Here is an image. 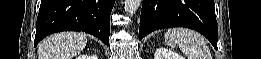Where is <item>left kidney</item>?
<instances>
[{
  "instance_id": "5707ae66",
  "label": "left kidney",
  "mask_w": 261,
  "mask_h": 59,
  "mask_svg": "<svg viewBox=\"0 0 261 59\" xmlns=\"http://www.w3.org/2000/svg\"><path fill=\"white\" fill-rule=\"evenodd\" d=\"M155 59H184V57L172 50L158 48L155 52Z\"/></svg>"
}]
</instances>
